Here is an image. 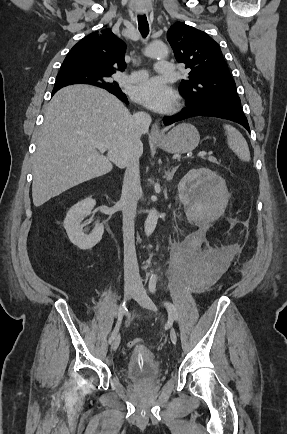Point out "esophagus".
<instances>
[{
  "mask_svg": "<svg viewBox=\"0 0 287 434\" xmlns=\"http://www.w3.org/2000/svg\"><path fill=\"white\" fill-rule=\"evenodd\" d=\"M151 136L154 139H160L161 138V133H160V130H159V125H158L157 122H155L153 124L152 128H151Z\"/></svg>",
  "mask_w": 287,
  "mask_h": 434,
  "instance_id": "34e87169",
  "label": "esophagus"
}]
</instances>
